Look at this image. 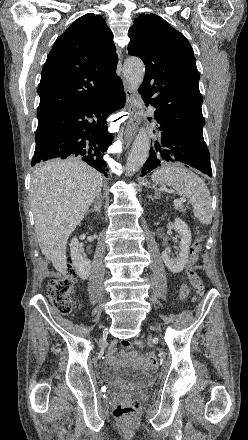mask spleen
I'll return each mask as SVG.
<instances>
[{
  "mask_svg": "<svg viewBox=\"0 0 248 440\" xmlns=\"http://www.w3.org/2000/svg\"><path fill=\"white\" fill-rule=\"evenodd\" d=\"M155 185L164 183L171 186L179 195L189 199L195 217L203 224L212 223V199L208 187L195 173L179 165H167L152 175ZM156 190V196L159 193Z\"/></svg>",
  "mask_w": 248,
  "mask_h": 440,
  "instance_id": "obj_1",
  "label": "spleen"
}]
</instances>
